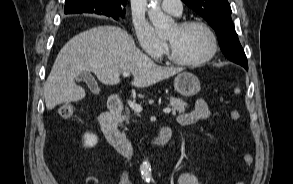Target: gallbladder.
Wrapping results in <instances>:
<instances>
[{
  "instance_id": "bac80fb5",
  "label": "gallbladder",
  "mask_w": 293,
  "mask_h": 184,
  "mask_svg": "<svg viewBox=\"0 0 293 184\" xmlns=\"http://www.w3.org/2000/svg\"><path fill=\"white\" fill-rule=\"evenodd\" d=\"M77 81H84L86 83H90L94 85L93 77L90 73L84 72L77 77Z\"/></svg>"
}]
</instances>
